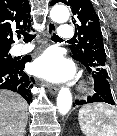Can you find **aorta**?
<instances>
[{
    "instance_id": "1",
    "label": "aorta",
    "mask_w": 117,
    "mask_h": 136,
    "mask_svg": "<svg viewBox=\"0 0 117 136\" xmlns=\"http://www.w3.org/2000/svg\"><path fill=\"white\" fill-rule=\"evenodd\" d=\"M70 16L67 7L62 5L54 6L50 12V17L57 23H65L68 21ZM72 105V94L69 88H61L57 97V108L59 112L64 115L66 114Z\"/></svg>"
}]
</instances>
